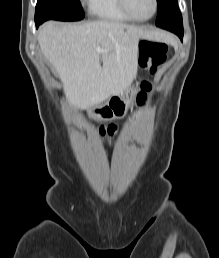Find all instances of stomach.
Returning a JSON list of instances; mask_svg holds the SVG:
<instances>
[{
	"instance_id": "obj_1",
	"label": "stomach",
	"mask_w": 219,
	"mask_h": 258,
	"mask_svg": "<svg viewBox=\"0 0 219 258\" xmlns=\"http://www.w3.org/2000/svg\"><path fill=\"white\" fill-rule=\"evenodd\" d=\"M135 95L136 89L134 87H130L122 94L110 96L105 103L89 108L87 110L88 114L89 116L101 121L123 118L131 103L134 101Z\"/></svg>"
}]
</instances>
